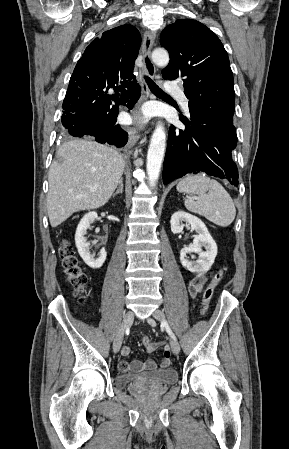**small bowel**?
Masks as SVG:
<instances>
[{
    "instance_id": "small-bowel-1",
    "label": "small bowel",
    "mask_w": 289,
    "mask_h": 449,
    "mask_svg": "<svg viewBox=\"0 0 289 449\" xmlns=\"http://www.w3.org/2000/svg\"><path fill=\"white\" fill-rule=\"evenodd\" d=\"M205 282H206V277L202 276V275L197 276L191 280V282L189 283L188 289H189L190 295L193 298H195L196 296H198L201 293ZM144 346L146 347V350L148 353H153L159 347L163 346V343L160 341L152 342L151 340H149V342L147 344H144ZM162 351H163V354H161L159 358L162 361L161 366L166 369L169 367L171 359H172V356H171L172 349L169 346H164ZM130 352H131L130 347H128V346L123 347V349H122L123 356L129 355ZM156 367H157V363L152 359H149L146 361L133 360L131 362L121 360L118 363V369L122 373L138 372V371H142V370H153Z\"/></svg>"
}]
</instances>
